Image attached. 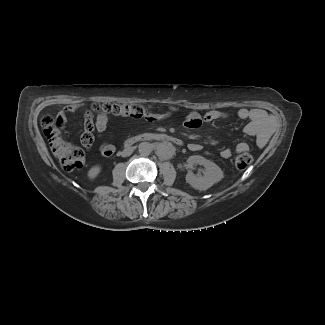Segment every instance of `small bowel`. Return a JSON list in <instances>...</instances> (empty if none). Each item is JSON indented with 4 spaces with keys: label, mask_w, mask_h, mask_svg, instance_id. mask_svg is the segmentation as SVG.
<instances>
[{
    "label": "small bowel",
    "mask_w": 325,
    "mask_h": 325,
    "mask_svg": "<svg viewBox=\"0 0 325 325\" xmlns=\"http://www.w3.org/2000/svg\"><path fill=\"white\" fill-rule=\"evenodd\" d=\"M78 108L77 104H71L64 107L59 111L55 118V129L58 134L65 138L67 144H73V139L75 133L71 130L65 123V118L67 115L72 114ZM176 112L175 108H171L170 113L163 115H152L151 120H160L164 117L170 116L172 113ZM237 116L242 120H248L249 123L245 127V132L250 135H257V142L259 145L264 143V140L272 127L271 118L261 109H247L241 108L237 112ZM229 118V114L226 111L221 110H211L201 115L196 111H191L185 119V126L189 129H199L203 124H208L216 121H222ZM108 125V119L104 115H97L95 119L92 118L90 113L85 114L84 118V133L82 135V144L86 148H91L95 137L102 135L106 130ZM68 133V134H67ZM202 148L199 143L189 144V149L192 151H199ZM249 150V145L245 142H240L236 145V152H244ZM99 151L102 157L108 158L115 153V146L110 143H102L99 146ZM221 157L228 159L232 156L230 149H223L220 153Z\"/></svg>",
    "instance_id": "1"
}]
</instances>
